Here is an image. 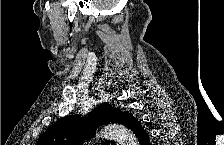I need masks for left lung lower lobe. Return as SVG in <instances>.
<instances>
[{
  "label": "left lung lower lobe",
  "instance_id": "0a47b994",
  "mask_svg": "<svg viewBox=\"0 0 224 145\" xmlns=\"http://www.w3.org/2000/svg\"><path fill=\"white\" fill-rule=\"evenodd\" d=\"M131 130L136 135L140 145H150L148 134L145 132L141 123L136 118H134L131 124Z\"/></svg>",
  "mask_w": 224,
  "mask_h": 145
}]
</instances>
